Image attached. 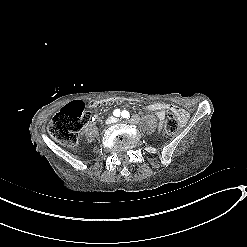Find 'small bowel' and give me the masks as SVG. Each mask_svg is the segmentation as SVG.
Listing matches in <instances>:
<instances>
[{"mask_svg": "<svg viewBox=\"0 0 247 247\" xmlns=\"http://www.w3.org/2000/svg\"><path fill=\"white\" fill-rule=\"evenodd\" d=\"M145 108L148 111L154 112L156 114V117L160 125H162L166 117V113L168 111H173L177 115L180 123L185 122L187 118V113L183 109L179 107L169 106L164 103H150V104H147Z\"/></svg>", "mask_w": 247, "mask_h": 247, "instance_id": "1", "label": "small bowel"}]
</instances>
